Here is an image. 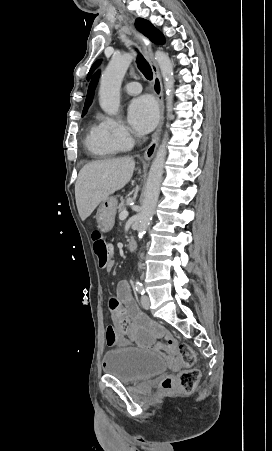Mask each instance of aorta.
Returning <instances> with one entry per match:
<instances>
[{"instance_id":"762f6f07","label":"aorta","mask_w":272,"mask_h":451,"mask_svg":"<svg viewBox=\"0 0 272 451\" xmlns=\"http://www.w3.org/2000/svg\"><path fill=\"white\" fill-rule=\"evenodd\" d=\"M136 54H123V56H113L107 68H105L99 86V106L109 114L116 116L120 106V86L121 82ZM155 60L161 70L166 90L167 112L170 116L173 104L174 74L173 64L165 52H155ZM168 134H164L161 146L158 148L156 158L150 168L144 200L139 214V237H142L144 231L149 226V222L155 212L156 204L160 194L163 168L166 158V144Z\"/></svg>"}]
</instances>
